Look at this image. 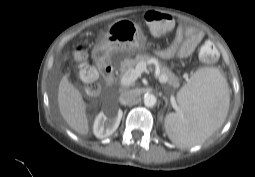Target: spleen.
I'll return each instance as SVG.
<instances>
[{
  "instance_id": "3e777b00",
  "label": "spleen",
  "mask_w": 255,
  "mask_h": 177,
  "mask_svg": "<svg viewBox=\"0 0 255 177\" xmlns=\"http://www.w3.org/2000/svg\"><path fill=\"white\" fill-rule=\"evenodd\" d=\"M181 112L165 118L172 142L190 147L210 137L224 123L230 103L226 79L217 68L198 69L177 94Z\"/></svg>"
}]
</instances>
